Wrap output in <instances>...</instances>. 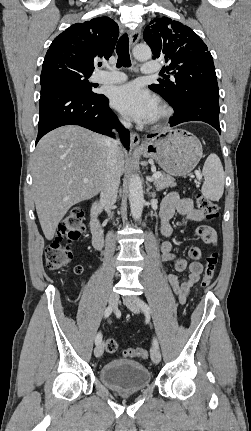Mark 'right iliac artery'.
I'll use <instances>...</instances> for the list:
<instances>
[{"label": "right iliac artery", "instance_id": "obj_1", "mask_svg": "<svg viewBox=\"0 0 251 431\" xmlns=\"http://www.w3.org/2000/svg\"><path fill=\"white\" fill-rule=\"evenodd\" d=\"M112 313V307L108 306L104 312V317L107 318ZM102 341V334L99 332L95 337V343L98 345Z\"/></svg>", "mask_w": 251, "mask_h": 431}]
</instances>
